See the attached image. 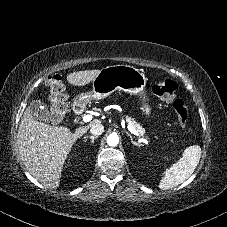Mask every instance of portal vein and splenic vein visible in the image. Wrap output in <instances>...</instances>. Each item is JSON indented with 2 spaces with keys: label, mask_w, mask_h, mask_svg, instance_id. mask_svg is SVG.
Instances as JSON below:
<instances>
[{
  "label": "portal vein and splenic vein",
  "mask_w": 227,
  "mask_h": 227,
  "mask_svg": "<svg viewBox=\"0 0 227 227\" xmlns=\"http://www.w3.org/2000/svg\"><path fill=\"white\" fill-rule=\"evenodd\" d=\"M91 120H92V116H91V115H84L83 118H82V121H83V122H89V121H91ZM128 130H129L132 134H134V135H136V136H138V137H142V134H141L139 131H137L136 129H134L133 127L128 126Z\"/></svg>",
  "instance_id": "18ae733b"
}]
</instances>
